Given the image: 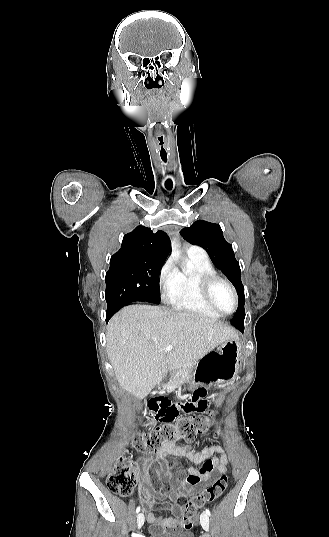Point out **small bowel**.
Instances as JSON below:
<instances>
[{
  "mask_svg": "<svg viewBox=\"0 0 329 537\" xmlns=\"http://www.w3.org/2000/svg\"><path fill=\"white\" fill-rule=\"evenodd\" d=\"M202 367L200 366V369ZM193 396L187 397L181 403L164 404L157 409L155 420L159 424H173L178 413L197 414L208 408V390L204 383H199L194 389ZM153 422L147 423L151 426ZM173 458L187 459L194 464H202L200 469L193 466L182 467L171 462ZM157 463V472H162L163 483H168L174 490L166 491L161 483L156 488L148 474L150 465ZM137 479L141 481L139 501L146 513L147 521L151 524L150 532L179 531L183 529L180 519L181 507L198 490L210 484L218 475L228 470V456L222 446H209L196 449L189 444L178 445L175 442L164 443L155 457L145 456L138 464L132 463ZM176 469V470H173ZM155 506H160L170 512V516H160L152 512Z\"/></svg>",
  "mask_w": 329,
  "mask_h": 537,
  "instance_id": "obj_1",
  "label": "small bowel"
}]
</instances>
